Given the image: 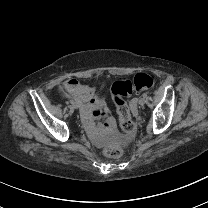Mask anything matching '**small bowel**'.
<instances>
[{"label": "small bowel", "instance_id": "1", "mask_svg": "<svg viewBox=\"0 0 208 208\" xmlns=\"http://www.w3.org/2000/svg\"><path fill=\"white\" fill-rule=\"evenodd\" d=\"M81 84V79L75 77L69 82L64 83L62 89H56L54 95L61 101L73 100V103L87 115L89 120L87 122L89 138L94 146L100 147L106 142L108 133L116 126L115 121L109 115L107 107L97 110L98 104L102 101L100 94L105 91L106 86L104 83L99 82L94 86L93 90H91L83 87L79 88ZM76 90L77 93L74 94L73 91ZM93 91L95 95H93ZM97 119L102 120L99 129L97 123L94 122Z\"/></svg>", "mask_w": 208, "mask_h": 208}]
</instances>
